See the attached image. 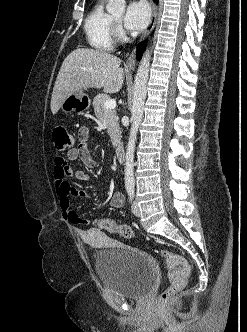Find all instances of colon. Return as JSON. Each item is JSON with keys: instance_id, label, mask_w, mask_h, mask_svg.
<instances>
[{"instance_id": "colon-1", "label": "colon", "mask_w": 247, "mask_h": 332, "mask_svg": "<svg viewBox=\"0 0 247 332\" xmlns=\"http://www.w3.org/2000/svg\"><path fill=\"white\" fill-rule=\"evenodd\" d=\"M54 147L58 152L69 151L74 140L72 135L62 126L54 128L52 132ZM96 227L109 233H117L126 239L135 237L134 231L127 225L119 224L110 218H102L96 221ZM157 253L165 261L168 272V287L160 294L158 300L160 303L168 302L172 297L182 291L187 285L190 275V266L188 262L180 255L174 254L165 249H158Z\"/></svg>"}]
</instances>
